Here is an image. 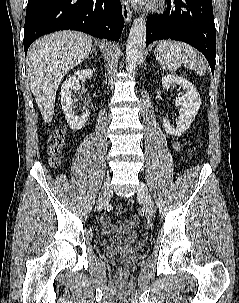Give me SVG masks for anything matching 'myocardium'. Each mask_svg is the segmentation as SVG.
<instances>
[{
  "label": "myocardium",
  "mask_w": 239,
  "mask_h": 303,
  "mask_svg": "<svg viewBox=\"0 0 239 303\" xmlns=\"http://www.w3.org/2000/svg\"><path fill=\"white\" fill-rule=\"evenodd\" d=\"M152 8L155 10H161L164 8V0H154Z\"/></svg>",
  "instance_id": "obj_1"
}]
</instances>
